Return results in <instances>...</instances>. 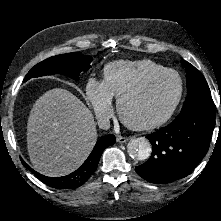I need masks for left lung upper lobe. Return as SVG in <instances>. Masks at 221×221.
I'll return each instance as SVG.
<instances>
[{
  "label": "left lung upper lobe",
  "instance_id": "1",
  "mask_svg": "<svg viewBox=\"0 0 221 221\" xmlns=\"http://www.w3.org/2000/svg\"><path fill=\"white\" fill-rule=\"evenodd\" d=\"M182 64L186 69L187 97L181 113L195 104L214 105L210 89L201 72L186 61H182Z\"/></svg>",
  "mask_w": 221,
  "mask_h": 221
}]
</instances>
